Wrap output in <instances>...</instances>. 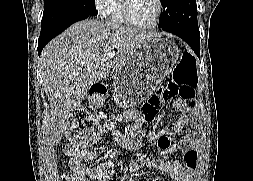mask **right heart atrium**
Segmentation results:
<instances>
[{
	"instance_id": "obj_1",
	"label": "right heart atrium",
	"mask_w": 253,
	"mask_h": 181,
	"mask_svg": "<svg viewBox=\"0 0 253 181\" xmlns=\"http://www.w3.org/2000/svg\"><path fill=\"white\" fill-rule=\"evenodd\" d=\"M112 0H93V5L101 17H107Z\"/></svg>"
}]
</instances>
